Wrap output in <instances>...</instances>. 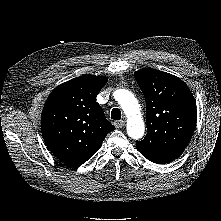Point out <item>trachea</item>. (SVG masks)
<instances>
[{"label": "trachea", "mask_w": 221, "mask_h": 221, "mask_svg": "<svg viewBox=\"0 0 221 221\" xmlns=\"http://www.w3.org/2000/svg\"><path fill=\"white\" fill-rule=\"evenodd\" d=\"M111 119L120 120L121 119V111L118 108H114L111 111Z\"/></svg>", "instance_id": "trachea-1"}]
</instances>
